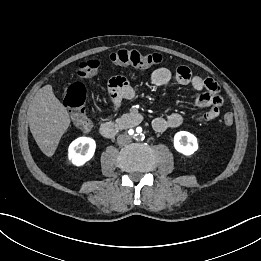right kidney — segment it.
Segmentation results:
<instances>
[{
  "label": "right kidney",
  "instance_id": "right-kidney-1",
  "mask_svg": "<svg viewBox=\"0 0 261 261\" xmlns=\"http://www.w3.org/2000/svg\"><path fill=\"white\" fill-rule=\"evenodd\" d=\"M95 148L96 143L92 138L79 137L69 146V160L76 166H82L93 157Z\"/></svg>",
  "mask_w": 261,
  "mask_h": 261
}]
</instances>
